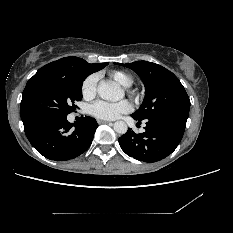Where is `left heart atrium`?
I'll use <instances>...</instances> for the list:
<instances>
[{
	"label": "left heart atrium",
	"instance_id": "obj_1",
	"mask_svg": "<svg viewBox=\"0 0 233 233\" xmlns=\"http://www.w3.org/2000/svg\"><path fill=\"white\" fill-rule=\"evenodd\" d=\"M132 105L127 100L108 102L99 100L90 106V113L101 120H115L122 114L129 113Z\"/></svg>",
	"mask_w": 233,
	"mask_h": 233
}]
</instances>
